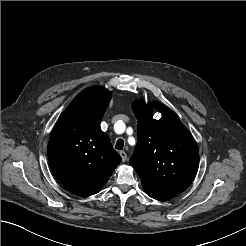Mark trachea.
<instances>
[{"instance_id":"1","label":"trachea","mask_w":246,"mask_h":246,"mask_svg":"<svg viewBox=\"0 0 246 246\" xmlns=\"http://www.w3.org/2000/svg\"><path fill=\"white\" fill-rule=\"evenodd\" d=\"M124 146V141L122 139H118L115 145V148L118 150H122Z\"/></svg>"}]
</instances>
